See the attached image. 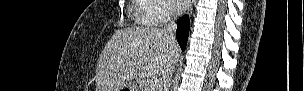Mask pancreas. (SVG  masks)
I'll return each mask as SVG.
<instances>
[{
    "instance_id": "1",
    "label": "pancreas",
    "mask_w": 304,
    "mask_h": 91,
    "mask_svg": "<svg viewBox=\"0 0 304 91\" xmlns=\"http://www.w3.org/2000/svg\"><path fill=\"white\" fill-rule=\"evenodd\" d=\"M139 91H153V89L147 88L146 83L144 81H141L139 83Z\"/></svg>"
}]
</instances>
